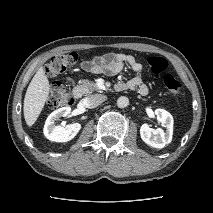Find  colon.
<instances>
[{
  "mask_svg": "<svg viewBox=\"0 0 213 213\" xmlns=\"http://www.w3.org/2000/svg\"><path fill=\"white\" fill-rule=\"evenodd\" d=\"M78 60L76 53L70 52L61 55H56L50 59L46 65L47 75L54 77L63 74L73 68ZM168 66V62L162 57H150L147 59V67L154 75L163 73ZM165 88L171 94H178L181 91V84L172 75L168 74L163 79ZM74 98L68 88L61 82L53 83L48 98V104L51 108H60L69 106L73 103Z\"/></svg>",
  "mask_w": 213,
  "mask_h": 213,
  "instance_id": "obj_1",
  "label": "colon"
}]
</instances>
